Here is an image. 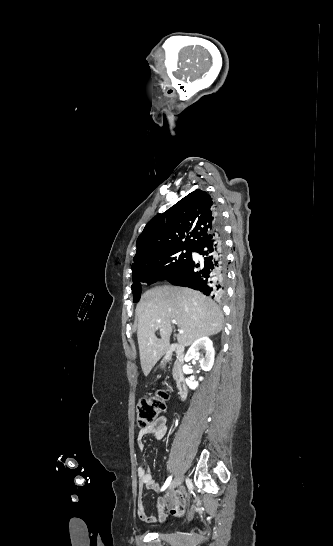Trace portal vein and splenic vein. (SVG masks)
Masks as SVG:
<instances>
[{"mask_svg":"<svg viewBox=\"0 0 333 546\" xmlns=\"http://www.w3.org/2000/svg\"><path fill=\"white\" fill-rule=\"evenodd\" d=\"M172 323H173V324H176V320L173 319V320H172ZM183 333H184V331L181 330V329H179V334H183Z\"/></svg>","mask_w":333,"mask_h":546,"instance_id":"obj_1","label":"portal vein and splenic vein"}]
</instances>
